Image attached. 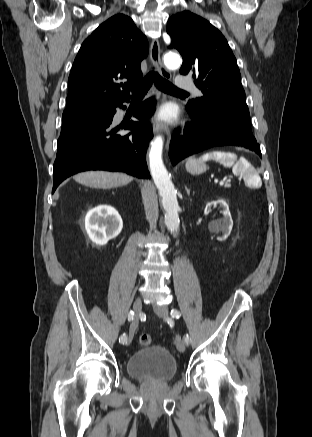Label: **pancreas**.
I'll use <instances>...</instances> for the list:
<instances>
[{
    "mask_svg": "<svg viewBox=\"0 0 312 437\" xmlns=\"http://www.w3.org/2000/svg\"><path fill=\"white\" fill-rule=\"evenodd\" d=\"M225 187H226V188H230L231 185H230V184H225Z\"/></svg>",
    "mask_w": 312,
    "mask_h": 437,
    "instance_id": "pancreas-1",
    "label": "pancreas"
}]
</instances>
